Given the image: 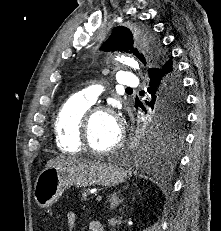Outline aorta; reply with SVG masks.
<instances>
[{"mask_svg":"<svg viewBox=\"0 0 221 231\" xmlns=\"http://www.w3.org/2000/svg\"><path fill=\"white\" fill-rule=\"evenodd\" d=\"M120 62L132 67L135 70H139V64L136 60L133 58L127 57V56H121L117 58Z\"/></svg>","mask_w":221,"mask_h":231,"instance_id":"aorta-1","label":"aorta"}]
</instances>
